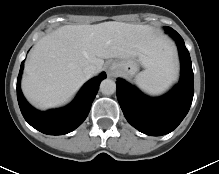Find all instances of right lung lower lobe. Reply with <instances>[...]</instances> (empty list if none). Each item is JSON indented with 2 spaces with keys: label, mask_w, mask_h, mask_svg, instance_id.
Here are the masks:
<instances>
[{
  "label": "right lung lower lobe",
  "mask_w": 219,
  "mask_h": 174,
  "mask_svg": "<svg viewBox=\"0 0 219 174\" xmlns=\"http://www.w3.org/2000/svg\"><path fill=\"white\" fill-rule=\"evenodd\" d=\"M23 67L24 61L21 63L17 79V99L21 113L32 127L48 135L67 134L76 129L86 119L99 89V84L106 75L102 73L88 81L82 87L74 101L68 106L47 112H40L26 101L21 92L20 79Z\"/></svg>",
  "instance_id": "obj_1"
}]
</instances>
